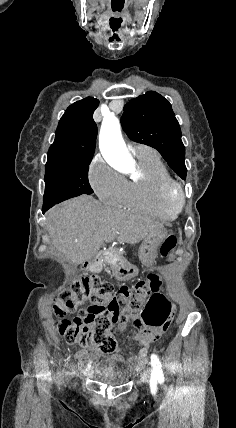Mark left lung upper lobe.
<instances>
[{
	"label": "left lung upper lobe",
	"mask_w": 236,
	"mask_h": 428,
	"mask_svg": "<svg viewBox=\"0 0 236 428\" xmlns=\"http://www.w3.org/2000/svg\"><path fill=\"white\" fill-rule=\"evenodd\" d=\"M121 123L128 137L157 149L168 165L186 178L185 147L171 104L155 91L129 101Z\"/></svg>",
	"instance_id": "obj_1"
}]
</instances>
